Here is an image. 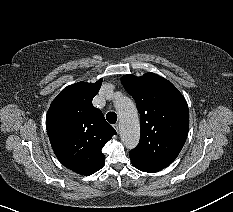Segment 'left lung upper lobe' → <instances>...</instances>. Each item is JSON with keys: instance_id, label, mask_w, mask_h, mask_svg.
<instances>
[{"instance_id": "1", "label": "left lung upper lobe", "mask_w": 233, "mask_h": 212, "mask_svg": "<svg viewBox=\"0 0 233 212\" xmlns=\"http://www.w3.org/2000/svg\"><path fill=\"white\" fill-rule=\"evenodd\" d=\"M140 113V141L129 155L165 168L178 156L187 138L189 111L180 91L167 79L146 73L121 78Z\"/></svg>"}]
</instances>
